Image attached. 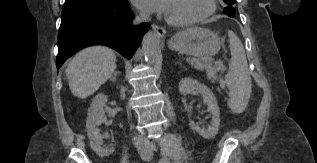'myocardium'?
<instances>
[{
    "mask_svg": "<svg viewBox=\"0 0 317 163\" xmlns=\"http://www.w3.org/2000/svg\"><path fill=\"white\" fill-rule=\"evenodd\" d=\"M216 10V0H207V7L204 13L189 20L177 21L165 16V21L174 27H189L200 23L211 17Z\"/></svg>",
    "mask_w": 317,
    "mask_h": 163,
    "instance_id": "1",
    "label": "myocardium"
}]
</instances>
